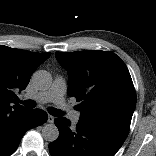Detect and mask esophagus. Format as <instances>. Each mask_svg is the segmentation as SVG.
<instances>
[{
    "label": "esophagus",
    "mask_w": 156,
    "mask_h": 156,
    "mask_svg": "<svg viewBox=\"0 0 156 156\" xmlns=\"http://www.w3.org/2000/svg\"><path fill=\"white\" fill-rule=\"evenodd\" d=\"M48 123H53L54 122V116L52 115H48V120H47Z\"/></svg>",
    "instance_id": "obj_1"
}]
</instances>
